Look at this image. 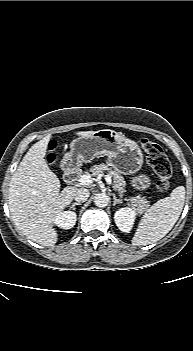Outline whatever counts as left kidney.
I'll use <instances>...</instances> for the list:
<instances>
[{"instance_id":"obj_1","label":"left kidney","mask_w":193,"mask_h":351,"mask_svg":"<svg viewBox=\"0 0 193 351\" xmlns=\"http://www.w3.org/2000/svg\"><path fill=\"white\" fill-rule=\"evenodd\" d=\"M137 212L134 208L124 207L115 212L116 226L122 231L129 233L134 225Z\"/></svg>"}]
</instances>
